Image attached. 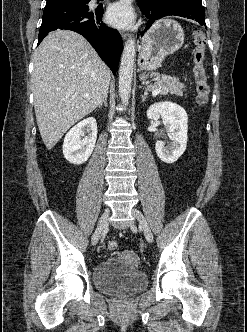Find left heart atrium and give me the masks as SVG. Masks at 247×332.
Here are the masks:
<instances>
[{
	"label": "left heart atrium",
	"mask_w": 247,
	"mask_h": 332,
	"mask_svg": "<svg viewBox=\"0 0 247 332\" xmlns=\"http://www.w3.org/2000/svg\"><path fill=\"white\" fill-rule=\"evenodd\" d=\"M134 15L126 1L111 4L106 12L107 22L117 28H125L132 24Z\"/></svg>",
	"instance_id": "obj_1"
}]
</instances>
